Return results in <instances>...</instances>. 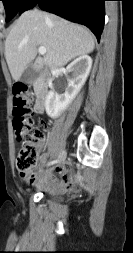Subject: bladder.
<instances>
[{"mask_svg":"<svg viewBox=\"0 0 133 253\" xmlns=\"http://www.w3.org/2000/svg\"><path fill=\"white\" fill-rule=\"evenodd\" d=\"M52 199H53V200H56V201L61 200V198H60V197H58V196H53V197H52Z\"/></svg>","mask_w":133,"mask_h":253,"instance_id":"1","label":"bladder"}]
</instances>
